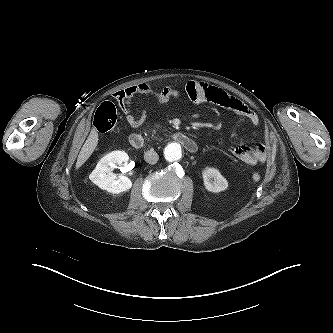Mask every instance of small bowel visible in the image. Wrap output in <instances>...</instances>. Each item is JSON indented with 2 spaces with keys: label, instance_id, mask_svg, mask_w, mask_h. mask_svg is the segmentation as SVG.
I'll return each instance as SVG.
<instances>
[{
  "label": "small bowel",
  "instance_id": "small-bowel-1",
  "mask_svg": "<svg viewBox=\"0 0 333 333\" xmlns=\"http://www.w3.org/2000/svg\"><path fill=\"white\" fill-rule=\"evenodd\" d=\"M137 95L150 96L159 103H165L170 99L185 95L187 99L194 103L210 102L217 104L246 119L252 127L253 134L256 135V128L259 123L257 114L241 100L230 96L217 87L202 82L190 81L185 86L183 93L173 87L157 89L147 83H141L122 89L116 92L113 97L121 111L125 114L127 123L132 128H138L146 119L145 110H142L139 115H135L131 112V100ZM231 153L249 165L262 164L267 160V149L262 144L255 148L243 144L237 145L231 148Z\"/></svg>",
  "mask_w": 333,
  "mask_h": 333
}]
</instances>
